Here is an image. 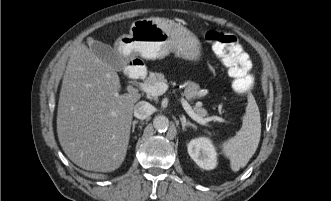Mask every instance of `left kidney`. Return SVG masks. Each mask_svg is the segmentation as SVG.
<instances>
[{
    "instance_id": "1",
    "label": "left kidney",
    "mask_w": 331,
    "mask_h": 201,
    "mask_svg": "<svg viewBox=\"0 0 331 201\" xmlns=\"http://www.w3.org/2000/svg\"><path fill=\"white\" fill-rule=\"evenodd\" d=\"M188 153L195 163L206 170L217 165V153L212 142L205 137L193 139L188 144Z\"/></svg>"
}]
</instances>
